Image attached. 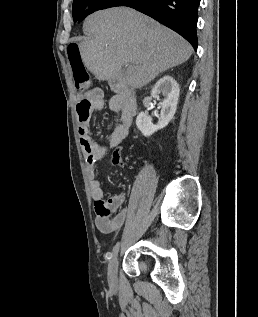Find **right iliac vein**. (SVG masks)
Segmentation results:
<instances>
[{
    "mask_svg": "<svg viewBox=\"0 0 258 317\" xmlns=\"http://www.w3.org/2000/svg\"><path fill=\"white\" fill-rule=\"evenodd\" d=\"M118 256H114V258L110 259V264L108 265V275L110 277H115L117 275V261H119V253L117 254Z\"/></svg>",
    "mask_w": 258,
    "mask_h": 317,
    "instance_id": "63e3f726",
    "label": "right iliac vein"
}]
</instances>
